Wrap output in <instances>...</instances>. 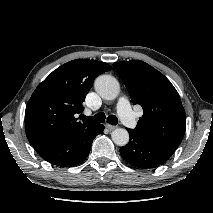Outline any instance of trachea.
Listing matches in <instances>:
<instances>
[{"mask_svg": "<svg viewBox=\"0 0 213 213\" xmlns=\"http://www.w3.org/2000/svg\"><path fill=\"white\" fill-rule=\"evenodd\" d=\"M83 119L88 120V121L97 122V123H103L105 121V114L104 113H98L93 117L83 116ZM107 122L111 125H117L118 118L115 115H110L107 118Z\"/></svg>", "mask_w": 213, "mask_h": 213, "instance_id": "obj_1", "label": "trachea"}]
</instances>
